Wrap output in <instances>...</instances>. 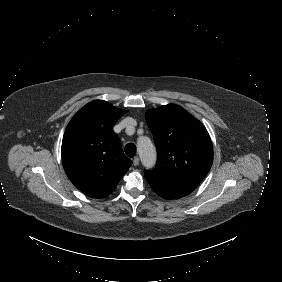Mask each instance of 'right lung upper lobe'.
<instances>
[{"label": "right lung upper lobe", "instance_id": "right-lung-upper-lobe-1", "mask_svg": "<svg viewBox=\"0 0 282 282\" xmlns=\"http://www.w3.org/2000/svg\"><path fill=\"white\" fill-rule=\"evenodd\" d=\"M127 111L95 100L71 119L62 141V162L70 181L85 195L104 198L116 188L132 161L113 126Z\"/></svg>", "mask_w": 282, "mask_h": 282}]
</instances>
